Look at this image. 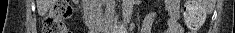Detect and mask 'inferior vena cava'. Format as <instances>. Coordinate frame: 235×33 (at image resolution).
<instances>
[{"mask_svg":"<svg viewBox=\"0 0 235 33\" xmlns=\"http://www.w3.org/2000/svg\"><path fill=\"white\" fill-rule=\"evenodd\" d=\"M113 13H114L113 8L111 6H107L106 11H105V20L108 21L109 23L113 19Z\"/></svg>","mask_w":235,"mask_h":33,"instance_id":"602c4592","label":"inferior vena cava"}]
</instances>
